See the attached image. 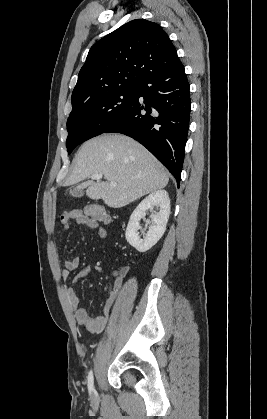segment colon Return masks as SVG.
Instances as JSON below:
<instances>
[{
    "label": "colon",
    "mask_w": 267,
    "mask_h": 419,
    "mask_svg": "<svg viewBox=\"0 0 267 419\" xmlns=\"http://www.w3.org/2000/svg\"><path fill=\"white\" fill-rule=\"evenodd\" d=\"M81 213L85 217L101 223H108L112 220L110 212L104 207L96 204L85 206Z\"/></svg>",
    "instance_id": "1"
}]
</instances>
